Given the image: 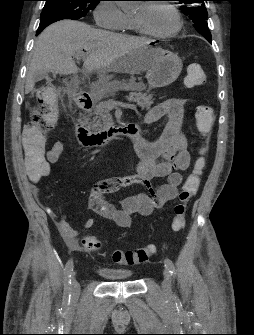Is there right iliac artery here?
Segmentation results:
<instances>
[{
    "instance_id": "obj_1",
    "label": "right iliac artery",
    "mask_w": 254,
    "mask_h": 335,
    "mask_svg": "<svg viewBox=\"0 0 254 335\" xmlns=\"http://www.w3.org/2000/svg\"><path fill=\"white\" fill-rule=\"evenodd\" d=\"M73 260L70 259L66 263L65 269H64V297L63 301L64 303H69L70 297H71V276L73 271Z\"/></svg>"
}]
</instances>
